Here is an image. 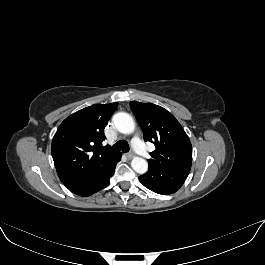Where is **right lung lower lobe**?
Listing matches in <instances>:
<instances>
[{"label":"right lung lower lobe","mask_w":265,"mask_h":265,"mask_svg":"<svg viewBox=\"0 0 265 265\" xmlns=\"http://www.w3.org/2000/svg\"><path fill=\"white\" fill-rule=\"evenodd\" d=\"M121 160V154L109 160L103 167H101L94 174L81 182L69 187L68 189L74 194L80 196H89L100 189L105 188L110 178L114 174L116 164Z\"/></svg>","instance_id":"obj_1"}]
</instances>
